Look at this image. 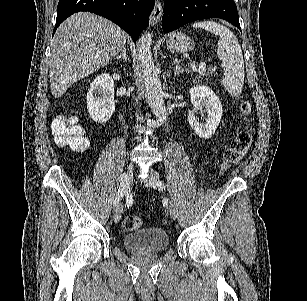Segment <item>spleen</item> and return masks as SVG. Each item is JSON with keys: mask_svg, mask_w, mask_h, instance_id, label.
Returning a JSON list of instances; mask_svg holds the SVG:
<instances>
[{"mask_svg": "<svg viewBox=\"0 0 307 301\" xmlns=\"http://www.w3.org/2000/svg\"><path fill=\"white\" fill-rule=\"evenodd\" d=\"M194 28H204L219 36L217 56L221 60L224 70L222 84L231 96H240L243 90L245 68L241 46L230 28L214 22V20H202L194 22Z\"/></svg>", "mask_w": 307, "mask_h": 301, "instance_id": "1", "label": "spleen"}]
</instances>
